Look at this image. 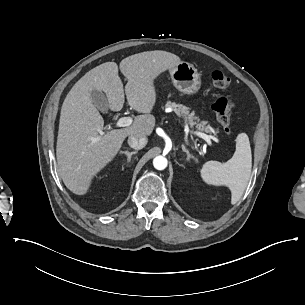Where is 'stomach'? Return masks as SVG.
<instances>
[{
    "label": "stomach",
    "mask_w": 305,
    "mask_h": 305,
    "mask_svg": "<svg viewBox=\"0 0 305 305\" xmlns=\"http://www.w3.org/2000/svg\"><path fill=\"white\" fill-rule=\"evenodd\" d=\"M173 85L185 94L196 93L201 86L200 74L193 64L180 61L169 70Z\"/></svg>",
    "instance_id": "0dacf381"
}]
</instances>
